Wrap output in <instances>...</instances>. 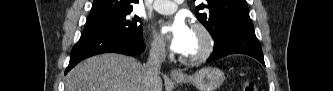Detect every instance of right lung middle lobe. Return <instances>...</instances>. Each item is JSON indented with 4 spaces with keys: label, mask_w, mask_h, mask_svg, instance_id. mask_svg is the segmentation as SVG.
<instances>
[{
    "label": "right lung middle lobe",
    "mask_w": 333,
    "mask_h": 91,
    "mask_svg": "<svg viewBox=\"0 0 333 91\" xmlns=\"http://www.w3.org/2000/svg\"><path fill=\"white\" fill-rule=\"evenodd\" d=\"M132 10L98 18L89 19L84 32H119L132 37H142L139 17H131Z\"/></svg>",
    "instance_id": "right-lung-middle-lobe-1"
}]
</instances>
